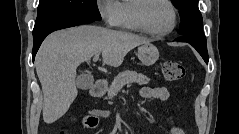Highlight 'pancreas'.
<instances>
[{
  "instance_id": "cf45deb5",
  "label": "pancreas",
  "mask_w": 239,
  "mask_h": 134,
  "mask_svg": "<svg viewBox=\"0 0 239 134\" xmlns=\"http://www.w3.org/2000/svg\"><path fill=\"white\" fill-rule=\"evenodd\" d=\"M150 79L136 71L126 70L124 72L119 73L113 80L112 84L108 89V98L112 99L115 97L118 92L125 86L126 84L137 83L139 85L148 84Z\"/></svg>"
}]
</instances>
